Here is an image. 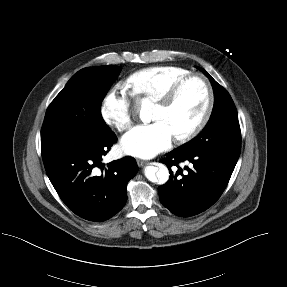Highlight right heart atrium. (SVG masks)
I'll list each match as a JSON object with an SVG mask.
<instances>
[{
    "label": "right heart atrium",
    "mask_w": 287,
    "mask_h": 287,
    "mask_svg": "<svg viewBox=\"0 0 287 287\" xmlns=\"http://www.w3.org/2000/svg\"><path fill=\"white\" fill-rule=\"evenodd\" d=\"M100 115L105 124L119 132L131 126L133 111L126 87L118 84L105 95L100 105Z\"/></svg>",
    "instance_id": "right-heart-atrium-1"
}]
</instances>
